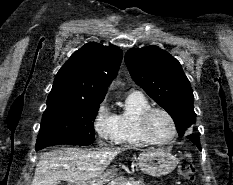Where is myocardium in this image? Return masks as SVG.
<instances>
[{"label": "myocardium", "mask_w": 233, "mask_h": 185, "mask_svg": "<svg viewBox=\"0 0 233 185\" xmlns=\"http://www.w3.org/2000/svg\"><path fill=\"white\" fill-rule=\"evenodd\" d=\"M155 112H160L163 113L164 115L167 116V118L170 120L171 125H172V134L171 136L166 139V140H157L155 139L149 129V120L152 116L153 113ZM140 129L142 132V135L144 136V138L151 144H156V145H164L167 143H170L176 136L177 134V126H176V122L174 117L172 116V114L167 111L164 108L161 107H149L148 109H146L141 117H140Z\"/></svg>", "instance_id": "f54148a6"}]
</instances>
